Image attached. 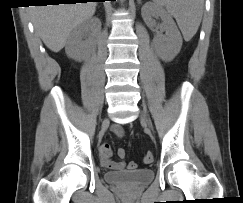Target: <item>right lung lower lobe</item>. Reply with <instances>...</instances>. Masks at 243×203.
Here are the masks:
<instances>
[{
    "label": "right lung lower lobe",
    "instance_id": "1",
    "mask_svg": "<svg viewBox=\"0 0 243 203\" xmlns=\"http://www.w3.org/2000/svg\"><path fill=\"white\" fill-rule=\"evenodd\" d=\"M43 1H48V0H40L41 4H43ZM60 1H62V2H58V3H69L70 4V3H76L77 1H86V0H60ZM94 1L99 2V1H105V0H94ZM111 1H115V0H111ZM41 4H38V5L41 6Z\"/></svg>",
    "mask_w": 243,
    "mask_h": 203
}]
</instances>
